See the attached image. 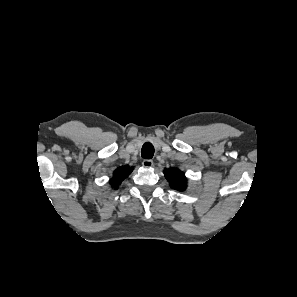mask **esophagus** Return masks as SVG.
Instances as JSON below:
<instances>
[{
	"instance_id": "1",
	"label": "esophagus",
	"mask_w": 297,
	"mask_h": 297,
	"mask_svg": "<svg viewBox=\"0 0 297 297\" xmlns=\"http://www.w3.org/2000/svg\"><path fill=\"white\" fill-rule=\"evenodd\" d=\"M142 165L144 167L148 168V167H152L154 165V163L150 159H145V160H143Z\"/></svg>"
}]
</instances>
